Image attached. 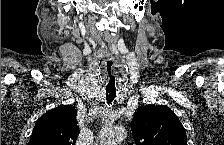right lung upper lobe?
Segmentation results:
<instances>
[{
	"mask_svg": "<svg viewBox=\"0 0 224 145\" xmlns=\"http://www.w3.org/2000/svg\"><path fill=\"white\" fill-rule=\"evenodd\" d=\"M76 113L70 105L46 112L36 122L29 145H72L79 134Z\"/></svg>",
	"mask_w": 224,
	"mask_h": 145,
	"instance_id": "obj_1",
	"label": "right lung upper lobe"
}]
</instances>
